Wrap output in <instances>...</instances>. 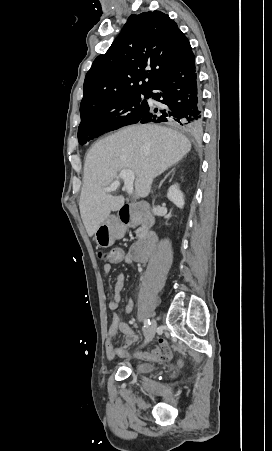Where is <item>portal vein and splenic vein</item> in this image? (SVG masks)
Instances as JSON below:
<instances>
[{"mask_svg":"<svg viewBox=\"0 0 272 451\" xmlns=\"http://www.w3.org/2000/svg\"><path fill=\"white\" fill-rule=\"evenodd\" d=\"M119 178H122V180H124V184L127 188L128 194H133L132 186L135 180L134 172H132V170H121ZM119 178H116L115 182L111 184L110 188H104V192H115L118 186H120Z\"/></svg>","mask_w":272,"mask_h":451,"instance_id":"obj_1","label":"portal vein and splenic vein"}]
</instances>
